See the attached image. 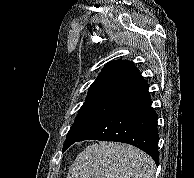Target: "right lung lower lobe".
<instances>
[{
	"mask_svg": "<svg viewBox=\"0 0 194 178\" xmlns=\"http://www.w3.org/2000/svg\"><path fill=\"white\" fill-rule=\"evenodd\" d=\"M157 114L149 94L129 101L94 125L76 142L95 139L131 144L159 164Z\"/></svg>",
	"mask_w": 194,
	"mask_h": 178,
	"instance_id": "obj_1",
	"label": "right lung lower lobe"
}]
</instances>
